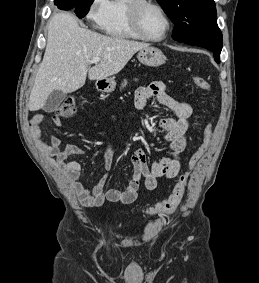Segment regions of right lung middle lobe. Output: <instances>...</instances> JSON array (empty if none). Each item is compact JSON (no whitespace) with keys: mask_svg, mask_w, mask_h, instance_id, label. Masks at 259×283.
Instances as JSON below:
<instances>
[{"mask_svg":"<svg viewBox=\"0 0 259 283\" xmlns=\"http://www.w3.org/2000/svg\"><path fill=\"white\" fill-rule=\"evenodd\" d=\"M75 1V13L79 18L84 17L88 11L89 7L94 0H74Z\"/></svg>","mask_w":259,"mask_h":283,"instance_id":"dd1d6c3e","label":"right lung middle lobe"}]
</instances>
